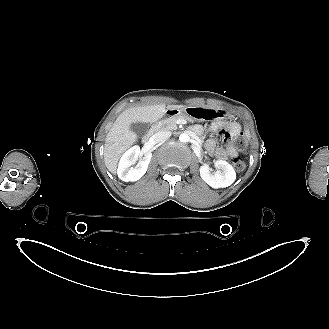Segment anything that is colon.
<instances>
[{"instance_id":"1","label":"colon","mask_w":329,"mask_h":329,"mask_svg":"<svg viewBox=\"0 0 329 329\" xmlns=\"http://www.w3.org/2000/svg\"><path fill=\"white\" fill-rule=\"evenodd\" d=\"M219 129L220 128H216V131ZM234 144L241 151H244L247 148V140L243 135H237L234 139ZM233 165L237 171H242L245 168V163L240 158H235L233 160Z\"/></svg>"}]
</instances>
